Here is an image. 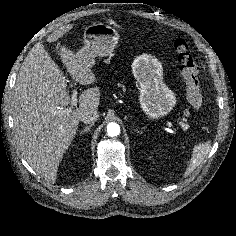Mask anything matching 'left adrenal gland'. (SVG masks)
Masks as SVG:
<instances>
[{"mask_svg":"<svg viewBox=\"0 0 236 236\" xmlns=\"http://www.w3.org/2000/svg\"><path fill=\"white\" fill-rule=\"evenodd\" d=\"M136 131H137V133H142L141 131L138 130V128H136Z\"/></svg>","mask_w":236,"mask_h":236,"instance_id":"obj_1","label":"left adrenal gland"}]
</instances>
